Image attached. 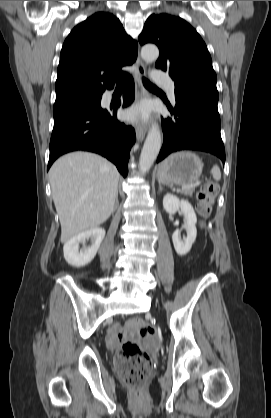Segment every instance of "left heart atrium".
<instances>
[{
	"instance_id": "39dd6f15",
	"label": "left heart atrium",
	"mask_w": 271,
	"mask_h": 418,
	"mask_svg": "<svg viewBox=\"0 0 271 418\" xmlns=\"http://www.w3.org/2000/svg\"><path fill=\"white\" fill-rule=\"evenodd\" d=\"M147 115L148 108L144 104L132 107L126 112V118L131 122L144 120L147 118Z\"/></svg>"
}]
</instances>
